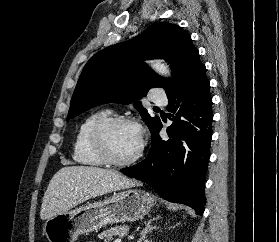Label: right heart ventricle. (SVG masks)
Segmentation results:
<instances>
[{
	"label": "right heart ventricle",
	"mask_w": 279,
	"mask_h": 242,
	"mask_svg": "<svg viewBox=\"0 0 279 242\" xmlns=\"http://www.w3.org/2000/svg\"><path fill=\"white\" fill-rule=\"evenodd\" d=\"M109 116L107 110H101L88 115L80 124L73 143V160L83 166L101 167L106 165L95 151L91 142V132L97 121Z\"/></svg>",
	"instance_id": "e07e8e85"
}]
</instances>
